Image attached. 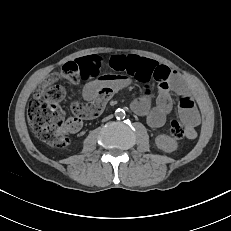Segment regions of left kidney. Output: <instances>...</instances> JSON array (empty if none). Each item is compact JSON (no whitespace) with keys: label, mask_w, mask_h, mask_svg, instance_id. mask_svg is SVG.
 Listing matches in <instances>:
<instances>
[{"label":"left kidney","mask_w":231,"mask_h":231,"mask_svg":"<svg viewBox=\"0 0 231 231\" xmlns=\"http://www.w3.org/2000/svg\"><path fill=\"white\" fill-rule=\"evenodd\" d=\"M156 146L167 153H171L178 148L177 142L168 135H159L155 139Z\"/></svg>","instance_id":"1"}]
</instances>
